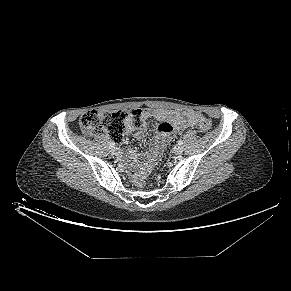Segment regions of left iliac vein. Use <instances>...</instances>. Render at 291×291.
<instances>
[{
  "mask_svg": "<svg viewBox=\"0 0 291 291\" xmlns=\"http://www.w3.org/2000/svg\"><path fill=\"white\" fill-rule=\"evenodd\" d=\"M173 153H174L175 155H182V153H183V148H182L181 146H175V147L173 148Z\"/></svg>",
  "mask_w": 291,
  "mask_h": 291,
  "instance_id": "1",
  "label": "left iliac vein"
}]
</instances>
